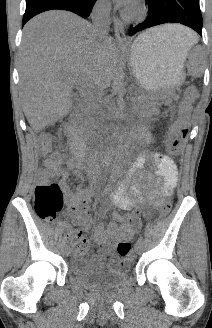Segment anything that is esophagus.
<instances>
[{"label":"esophagus","mask_w":212,"mask_h":328,"mask_svg":"<svg viewBox=\"0 0 212 328\" xmlns=\"http://www.w3.org/2000/svg\"><path fill=\"white\" fill-rule=\"evenodd\" d=\"M113 27H114V34L117 40L125 41V31L122 22L118 19L116 15L113 16Z\"/></svg>","instance_id":"esophagus-1"}]
</instances>
